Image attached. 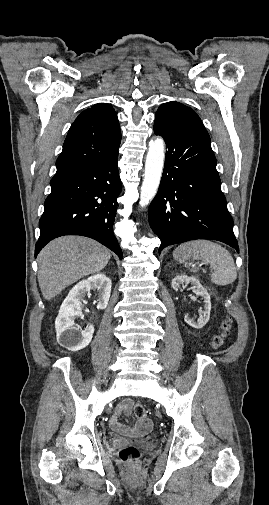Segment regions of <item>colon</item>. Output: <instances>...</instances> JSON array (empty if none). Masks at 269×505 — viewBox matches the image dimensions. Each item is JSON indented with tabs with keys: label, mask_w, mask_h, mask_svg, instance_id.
Listing matches in <instances>:
<instances>
[{
	"label": "colon",
	"mask_w": 269,
	"mask_h": 505,
	"mask_svg": "<svg viewBox=\"0 0 269 505\" xmlns=\"http://www.w3.org/2000/svg\"><path fill=\"white\" fill-rule=\"evenodd\" d=\"M231 330H232V323L231 320L227 318L222 323L221 332L218 335H216L211 342L212 349L218 350L224 347L227 341L229 340ZM134 414L139 419L144 418L146 415V410L144 406L141 404H136L134 406ZM119 457L123 461L137 462L140 458V452L134 446H126L119 451Z\"/></svg>",
	"instance_id": "1"
}]
</instances>
